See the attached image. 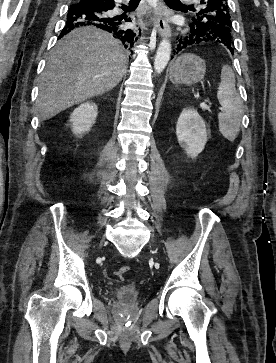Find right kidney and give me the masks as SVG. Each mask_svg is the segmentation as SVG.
I'll list each match as a JSON object with an SVG mask.
<instances>
[{
  "label": "right kidney",
  "instance_id": "1",
  "mask_svg": "<svg viewBox=\"0 0 276 363\" xmlns=\"http://www.w3.org/2000/svg\"><path fill=\"white\" fill-rule=\"evenodd\" d=\"M97 105L86 102L77 107L70 116L72 132L79 137L91 130L97 117Z\"/></svg>",
  "mask_w": 276,
  "mask_h": 363
}]
</instances>
